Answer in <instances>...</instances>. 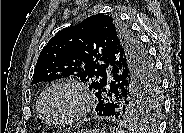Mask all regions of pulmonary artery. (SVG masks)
Wrapping results in <instances>:
<instances>
[{
  "label": "pulmonary artery",
  "instance_id": "1",
  "mask_svg": "<svg viewBox=\"0 0 184 133\" xmlns=\"http://www.w3.org/2000/svg\"><path fill=\"white\" fill-rule=\"evenodd\" d=\"M111 77V75L110 74H108V78H110Z\"/></svg>",
  "mask_w": 184,
  "mask_h": 133
}]
</instances>
